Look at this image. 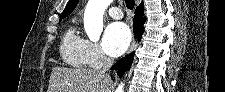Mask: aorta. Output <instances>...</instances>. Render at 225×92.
<instances>
[{
  "instance_id": "1",
  "label": "aorta",
  "mask_w": 225,
  "mask_h": 92,
  "mask_svg": "<svg viewBox=\"0 0 225 92\" xmlns=\"http://www.w3.org/2000/svg\"><path fill=\"white\" fill-rule=\"evenodd\" d=\"M112 0H88L84 12V28L92 41H97L103 30V15ZM124 91V83L121 82L116 92Z\"/></svg>"
}]
</instances>
